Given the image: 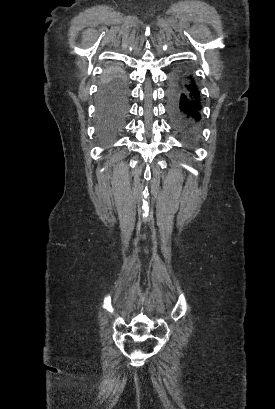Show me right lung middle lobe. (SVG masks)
I'll return each mask as SVG.
<instances>
[{"mask_svg":"<svg viewBox=\"0 0 275 409\" xmlns=\"http://www.w3.org/2000/svg\"><path fill=\"white\" fill-rule=\"evenodd\" d=\"M128 82L124 71L118 67L107 69L100 85L97 107L99 138L109 143L123 129L127 115Z\"/></svg>","mask_w":275,"mask_h":409,"instance_id":"1","label":"right lung middle lobe"}]
</instances>
